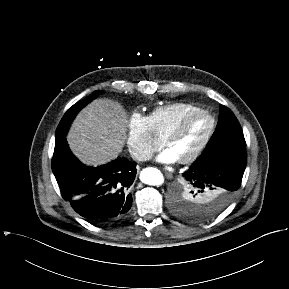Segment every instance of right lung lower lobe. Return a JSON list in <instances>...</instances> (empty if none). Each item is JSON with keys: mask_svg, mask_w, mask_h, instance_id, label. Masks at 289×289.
Segmentation results:
<instances>
[{"mask_svg": "<svg viewBox=\"0 0 289 289\" xmlns=\"http://www.w3.org/2000/svg\"><path fill=\"white\" fill-rule=\"evenodd\" d=\"M52 171L65 200L94 224L121 219L132 205L129 193L136 164L126 158L99 167H88L71 153L66 137L55 141Z\"/></svg>", "mask_w": 289, "mask_h": 289, "instance_id": "right-lung-lower-lobe-1", "label": "right lung lower lobe"}]
</instances>
